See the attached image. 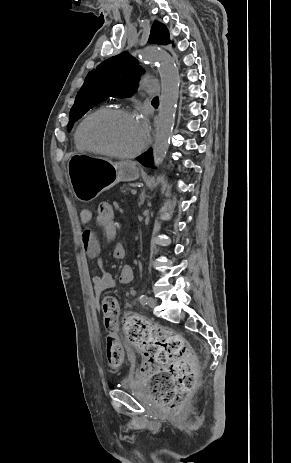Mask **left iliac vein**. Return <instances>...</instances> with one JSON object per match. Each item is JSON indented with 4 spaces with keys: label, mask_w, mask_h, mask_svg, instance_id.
<instances>
[{
    "label": "left iliac vein",
    "mask_w": 291,
    "mask_h": 463,
    "mask_svg": "<svg viewBox=\"0 0 291 463\" xmlns=\"http://www.w3.org/2000/svg\"><path fill=\"white\" fill-rule=\"evenodd\" d=\"M156 305H157V301H156L153 297H150V298L148 299V306L151 307V308H153V307H155Z\"/></svg>",
    "instance_id": "obj_1"
}]
</instances>
